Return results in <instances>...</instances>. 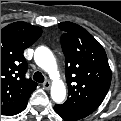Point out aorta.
Here are the masks:
<instances>
[{"mask_svg": "<svg viewBox=\"0 0 121 121\" xmlns=\"http://www.w3.org/2000/svg\"><path fill=\"white\" fill-rule=\"evenodd\" d=\"M35 63L48 72L50 75H55L51 87V98L55 103H62L66 97V87L62 80L59 79L57 72V64L51 50L45 46L37 47L34 53Z\"/></svg>", "mask_w": 121, "mask_h": 121, "instance_id": "aorta-1", "label": "aorta"}]
</instances>
